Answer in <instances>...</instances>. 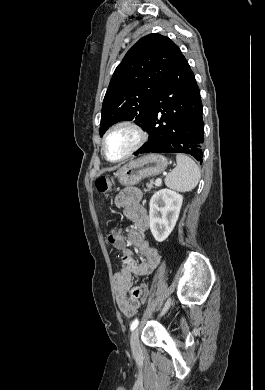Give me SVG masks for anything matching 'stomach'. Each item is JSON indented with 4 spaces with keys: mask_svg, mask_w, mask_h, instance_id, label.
Here are the masks:
<instances>
[{
    "mask_svg": "<svg viewBox=\"0 0 265 390\" xmlns=\"http://www.w3.org/2000/svg\"><path fill=\"white\" fill-rule=\"evenodd\" d=\"M168 165L167 159L160 154H148L130 161L115 174L123 186H132L144 178L153 177L164 172Z\"/></svg>",
    "mask_w": 265,
    "mask_h": 390,
    "instance_id": "1",
    "label": "stomach"
}]
</instances>
